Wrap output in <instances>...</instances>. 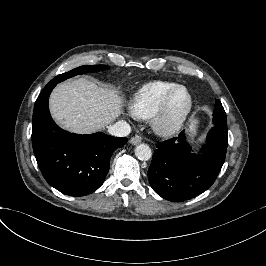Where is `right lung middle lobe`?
Listing matches in <instances>:
<instances>
[{
	"label": "right lung middle lobe",
	"instance_id": "right-lung-middle-lobe-1",
	"mask_svg": "<svg viewBox=\"0 0 266 266\" xmlns=\"http://www.w3.org/2000/svg\"><path fill=\"white\" fill-rule=\"evenodd\" d=\"M104 69H109L108 66L106 65H84V66H80L77 67L69 72L60 74L58 76H56L53 80L51 81H58L61 82L63 80H66L70 77L76 76L78 74H84V73H88V72H98V71H102Z\"/></svg>",
	"mask_w": 266,
	"mask_h": 266
}]
</instances>
